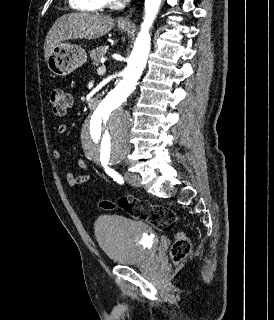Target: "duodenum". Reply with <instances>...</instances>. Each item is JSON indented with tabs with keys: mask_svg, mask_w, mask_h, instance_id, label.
<instances>
[{
	"mask_svg": "<svg viewBox=\"0 0 274 320\" xmlns=\"http://www.w3.org/2000/svg\"><path fill=\"white\" fill-rule=\"evenodd\" d=\"M100 104V100L96 97H92L90 100H89V107L92 108V109H95L99 106Z\"/></svg>",
	"mask_w": 274,
	"mask_h": 320,
	"instance_id": "1",
	"label": "duodenum"
}]
</instances>
